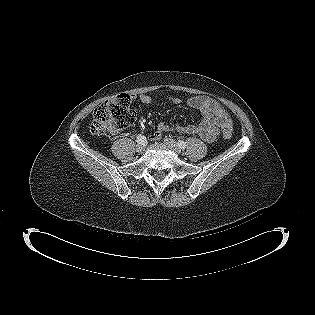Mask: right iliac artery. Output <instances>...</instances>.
<instances>
[{"instance_id": "82829eb1", "label": "right iliac artery", "mask_w": 315, "mask_h": 315, "mask_svg": "<svg viewBox=\"0 0 315 315\" xmlns=\"http://www.w3.org/2000/svg\"><path fill=\"white\" fill-rule=\"evenodd\" d=\"M137 143H139V144H142V143H144L145 141H146V137L145 136H143V135H139L138 137H137Z\"/></svg>"}]
</instances>
